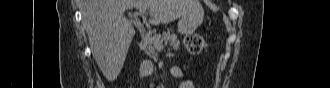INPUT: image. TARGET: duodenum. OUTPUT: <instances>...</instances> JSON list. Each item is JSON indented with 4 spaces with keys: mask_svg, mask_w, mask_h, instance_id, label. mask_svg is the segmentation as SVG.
<instances>
[{
    "mask_svg": "<svg viewBox=\"0 0 330 88\" xmlns=\"http://www.w3.org/2000/svg\"><path fill=\"white\" fill-rule=\"evenodd\" d=\"M140 71L143 75L149 76L155 73V66L151 62H143L140 65Z\"/></svg>",
    "mask_w": 330,
    "mask_h": 88,
    "instance_id": "410a0bca",
    "label": "duodenum"
}]
</instances>
